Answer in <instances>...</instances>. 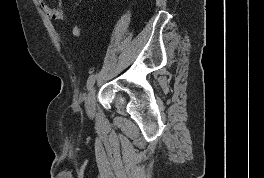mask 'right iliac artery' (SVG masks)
Wrapping results in <instances>:
<instances>
[{"label": "right iliac artery", "instance_id": "obj_1", "mask_svg": "<svg viewBox=\"0 0 264 178\" xmlns=\"http://www.w3.org/2000/svg\"><path fill=\"white\" fill-rule=\"evenodd\" d=\"M95 78H96V75L89 76L88 81H87V89L88 90H90L91 87L93 86V84L95 82Z\"/></svg>", "mask_w": 264, "mask_h": 178}]
</instances>
